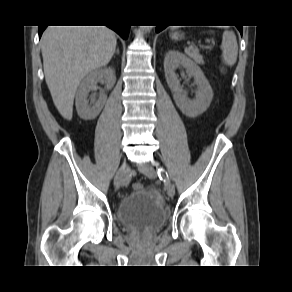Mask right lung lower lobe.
Segmentation results:
<instances>
[{
  "label": "right lung lower lobe",
  "mask_w": 292,
  "mask_h": 292,
  "mask_svg": "<svg viewBox=\"0 0 292 292\" xmlns=\"http://www.w3.org/2000/svg\"><path fill=\"white\" fill-rule=\"evenodd\" d=\"M47 26H39V37H41L43 31L45 30ZM109 28L113 29L116 31L123 39H127L128 34H129V25H120V24H113V25H108Z\"/></svg>",
  "instance_id": "1"
}]
</instances>
